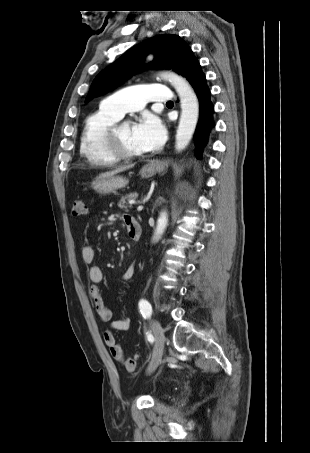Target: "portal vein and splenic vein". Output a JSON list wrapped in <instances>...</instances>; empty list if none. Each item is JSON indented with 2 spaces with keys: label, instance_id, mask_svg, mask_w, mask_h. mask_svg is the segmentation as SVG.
<instances>
[{
  "label": "portal vein and splenic vein",
  "instance_id": "portal-vein-and-splenic-vein-1",
  "mask_svg": "<svg viewBox=\"0 0 310 453\" xmlns=\"http://www.w3.org/2000/svg\"><path fill=\"white\" fill-rule=\"evenodd\" d=\"M129 203H130V204H135L136 202L133 201V200H131V201H129ZM142 209H143V206H142V205H140V206L137 207V210H138V211H141Z\"/></svg>",
  "mask_w": 310,
  "mask_h": 453
}]
</instances>
